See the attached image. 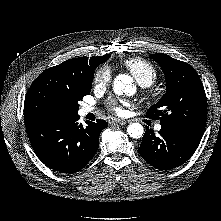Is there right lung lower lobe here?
Segmentation results:
<instances>
[{"mask_svg": "<svg viewBox=\"0 0 221 221\" xmlns=\"http://www.w3.org/2000/svg\"><path fill=\"white\" fill-rule=\"evenodd\" d=\"M79 116L58 118L24 117L26 130L37 157L49 168L62 173L80 171L95 155L105 120L78 123Z\"/></svg>", "mask_w": 221, "mask_h": 221, "instance_id": "right-lung-lower-lobe-1", "label": "right lung lower lobe"}]
</instances>
